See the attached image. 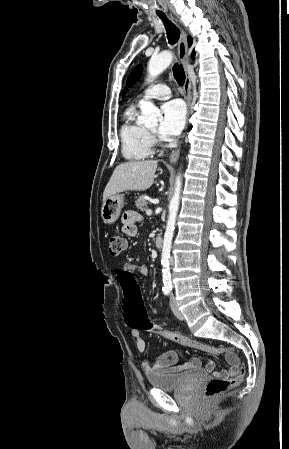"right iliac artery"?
Returning a JSON list of instances; mask_svg holds the SVG:
<instances>
[{
  "label": "right iliac artery",
  "mask_w": 289,
  "mask_h": 449,
  "mask_svg": "<svg viewBox=\"0 0 289 449\" xmlns=\"http://www.w3.org/2000/svg\"><path fill=\"white\" fill-rule=\"evenodd\" d=\"M163 292L165 295H168L170 293V289H163Z\"/></svg>",
  "instance_id": "82829eb1"
}]
</instances>
